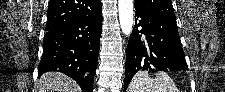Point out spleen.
I'll return each instance as SVG.
<instances>
[{
	"label": "spleen",
	"mask_w": 225,
	"mask_h": 92,
	"mask_svg": "<svg viewBox=\"0 0 225 92\" xmlns=\"http://www.w3.org/2000/svg\"><path fill=\"white\" fill-rule=\"evenodd\" d=\"M128 92H179L174 81L165 73L157 72L153 78L147 71L137 72L129 87Z\"/></svg>",
	"instance_id": "3e777b00"
}]
</instances>
